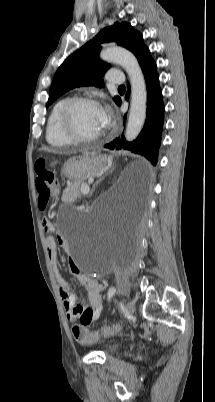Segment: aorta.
<instances>
[{
    "mask_svg": "<svg viewBox=\"0 0 215 402\" xmlns=\"http://www.w3.org/2000/svg\"><path fill=\"white\" fill-rule=\"evenodd\" d=\"M100 58L121 65L129 77L131 105L125 138L133 141L141 132L146 119L147 89L144 75L135 56L126 49L108 47L101 51Z\"/></svg>",
    "mask_w": 215,
    "mask_h": 402,
    "instance_id": "aorta-1",
    "label": "aorta"
}]
</instances>
